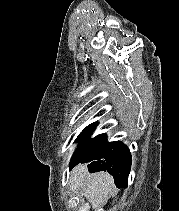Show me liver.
<instances>
[{
    "label": "liver",
    "mask_w": 179,
    "mask_h": 211,
    "mask_svg": "<svg viewBox=\"0 0 179 211\" xmlns=\"http://www.w3.org/2000/svg\"><path fill=\"white\" fill-rule=\"evenodd\" d=\"M70 181L73 191L83 188V195L89 200L93 209L104 202L114 186L110 174L98 172L90 175L84 165H78L72 170Z\"/></svg>",
    "instance_id": "1"
}]
</instances>
